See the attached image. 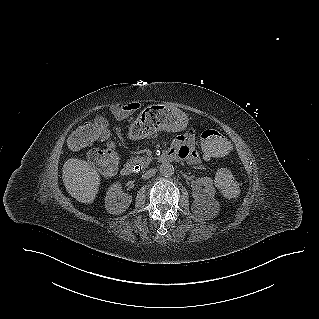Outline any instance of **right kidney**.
<instances>
[{"label":"right kidney","instance_id":"right-kidney-1","mask_svg":"<svg viewBox=\"0 0 319 319\" xmlns=\"http://www.w3.org/2000/svg\"><path fill=\"white\" fill-rule=\"evenodd\" d=\"M132 202V196L124 193L120 183H113L106 193L105 207L108 213L120 215Z\"/></svg>","mask_w":319,"mask_h":319}]
</instances>
